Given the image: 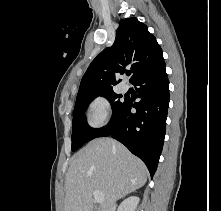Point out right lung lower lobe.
<instances>
[{
    "instance_id": "right-lung-lower-lobe-1",
    "label": "right lung lower lobe",
    "mask_w": 221,
    "mask_h": 211,
    "mask_svg": "<svg viewBox=\"0 0 221 211\" xmlns=\"http://www.w3.org/2000/svg\"><path fill=\"white\" fill-rule=\"evenodd\" d=\"M132 84L141 101L126 99L109 125L97 137L112 136L144 161L151 176L156 172L163 149L169 106V81L165 64L137 77ZM134 107L137 112L131 113Z\"/></svg>"
}]
</instances>
